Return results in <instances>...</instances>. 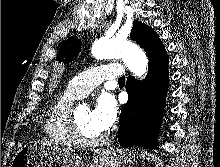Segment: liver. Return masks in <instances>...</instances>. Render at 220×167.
Instances as JSON below:
<instances>
[{
  "label": "liver",
  "instance_id": "6515ba94",
  "mask_svg": "<svg viewBox=\"0 0 220 167\" xmlns=\"http://www.w3.org/2000/svg\"><path fill=\"white\" fill-rule=\"evenodd\" d=\"M35 143H40V144H44V145H48V146H53V142L52 141H49V140H42V141H36ZM56 148L60 151H62L63 153H69V152H73L74 150L70 149V148H60V147H57Z\"/></svg>",
  "mask_w": 220,
  "mask_h": 167
}]
</instances>
